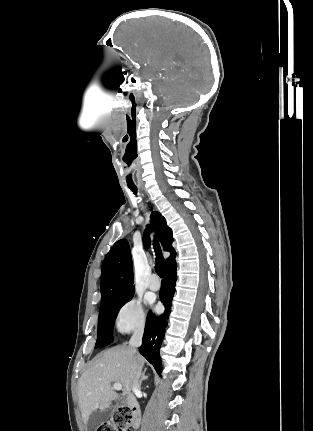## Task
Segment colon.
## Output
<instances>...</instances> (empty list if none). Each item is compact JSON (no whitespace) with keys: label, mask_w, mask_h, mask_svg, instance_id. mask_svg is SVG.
Masks as SVG:
<instances>
[{"label":"colon","mask_w":313,"mask_h":431,"mask_svg":"<svg viewBox=\"0 0 313 431\" xmlns=\"http://www.w3.org/2000/svg\"><path fill=\"white\" fill-rule=\"evenodd\" d=\"M134 422L131 409L126 405L117 406L111 416L97 431H133Z\"/></svg>","instance_id":"colon-1"}]
</instances>
